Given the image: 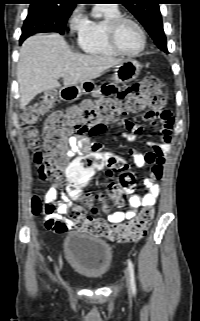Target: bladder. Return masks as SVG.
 Listing matches in <instances>:
<instances>
[{
  "label": "bladder",
  "instance_id": "bladder-1",
  "mask_svg": "<svg viewBox=\"0 0 200 321\" xmlns=\"http://www.w3.org/2000/svg\"><path fill=\"white\" fill-rule=\"evenodd\" d=\"M64 250L70 266L90 279H101L111 269L113 250L101 238L73 231L64 239Z\"/></svg>",
  "mask_w": 200,
  "mask_h": 321
}]
</instances>
